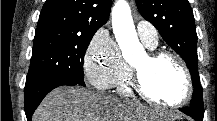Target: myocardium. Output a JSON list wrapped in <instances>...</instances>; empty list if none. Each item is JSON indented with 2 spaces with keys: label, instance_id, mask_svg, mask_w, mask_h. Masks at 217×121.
I'll return each instance as SVG.
<instances>
[{
  "label": "myocardium",
  "instance_id": "myocardium-1",
  "mask_svg": "<svg viewBox=\"0 0 217 121\" xmlns=\"http://www.w3.org/2000/svg\"><path fill=\"white\" fill-rule=\"evenodd\" d=\"M146 58H147V61L151 64L158 63L160 60L164 58H168L172 60L182 71L184 79H185L186 87H185L183 96L178 101L173 102V103L162 102L159 99L153 97L148 92L145 86V83H144L143 74H142L141 69L132 65L131 66L132 83H133L134 90L137 92V94L148 102H151L153 104L160 105L163 107H167V108H178L186 104L190 100L193 94V82H192L190 71L186 63L183 61V59L180 56L170 51H166V50L151 51L146 55Z\"/></svg>",
  "mask_w": 217,
  "mask_h": 121
}]
</instances>
